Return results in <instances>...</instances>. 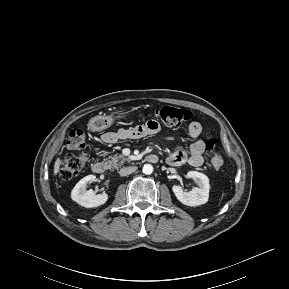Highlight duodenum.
<instances>
[{
  "label": "duodenum",
  "instance_id": "410a0bca",
  "mask_svg": "<svg viewBox=\"0 0 289 289\" xmlns=\"http://www.w3.org/2000/svg\"><path fill=\"white\" fill-rule=\"evenodd\" d=\"M147 161L150 163H157L159 158L156 154H150L146 157ZM91 169L96 174H103L107 170V166L102 161H95L92 163Z\"/></svg>",
  "mask_w": 289,
  "mask_h": 289
}]
</instances>
